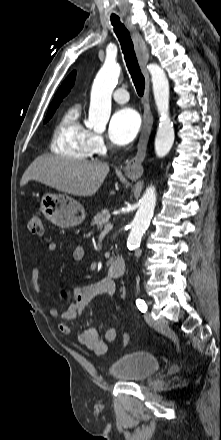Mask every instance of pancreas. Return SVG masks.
<instances>
[{
  "mask_svg": "<svg viewBox=\"0 0 221 440\" xmlns=\"http://www.w3.org/2000/svg\"><path fill=\"white\" fill-rule=\"evenodd\" d=\"M109 219V211L107 209H104L94 216L91 225L96 226L98 229H101L103 225L108 223Z\"/></svg>",
  "mask_w": 221,
  "mask_h": 440,
  "instance_id": "cf45deb5",
  "label": "pancreas"
}]
</instances>
